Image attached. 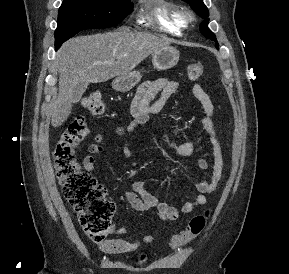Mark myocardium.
Segmentation results:
<instances>
[{
    "instance_id": "f54148a6",
    "label": "myocardium",
    "mask_w": 289,
    "mask_h": 274,
    "mask_svg": "<svg viewBox=\"0 0 289 274\" xmlns=\"http://www.w3.org/2000/svg\"><path fill=\"white\" fill-rule=\"evenodd\" d=\"M180 18L185 25H189L195 20L193 12L189 9H182L180 11Z\"/></svg>"
}]
</instances>
